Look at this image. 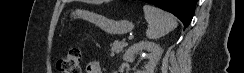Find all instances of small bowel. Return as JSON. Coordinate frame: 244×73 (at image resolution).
<instances>
[{
  "label": "small bowel",
  "mask_w": 244,
  "mask_h": 73,
  "mask_svg": "<svg viewBox=\"0 0 244 73\" xmlns=\"http://www.w3.org/2000/svg\"><path fill=\"white\" fill-rule=\"evenodd\" d=\"M87 73H102L100 62L97 60L90 61L86 66Z\"/></svg>",
  "instance_id": "1"
}]
</instances>
